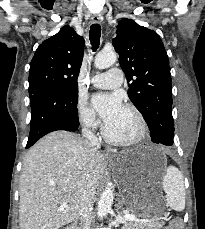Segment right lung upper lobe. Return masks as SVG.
I'll use <instances>...</instances> for the list:
<instances>
[{"instance_id":"cb5924a9","label":"right lung upper lobe","mask_w":205,"mask_h":229,"mask_svg":"<svg viewBox=\"0 0 205 229\" xmlns=\"http://www.w3.org/2000/svg\"><path fill=\"white\" fill-rule=\"evenodd\" d=\"M84 39L68 25L40 44L30 64L29 95L50 88L77 85Z\"/></svg>"}]
</instances>
